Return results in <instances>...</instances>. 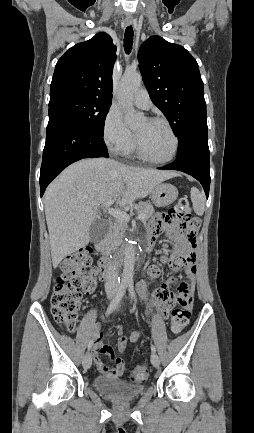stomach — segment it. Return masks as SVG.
<instances>
[{"label":"stomach","mask_w":254,"mask_h":433,"mask_svg":"<svg viewBox=\"0 0 254 433\" xmlns=\"http://www.w3.org/2000/svg\"><path fill=\"white\" fill-rule=\"evenodd\" d=\"M178 196V190L169 183H159L152 191V201L158 207H165L173 203Z\"/></svg>","instance_id":"stomach-1"}]
</instances>
